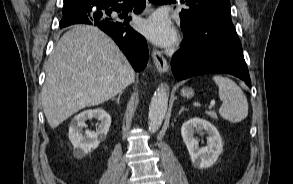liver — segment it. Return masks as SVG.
<instances>
[{
  "mask_svg": "<svg viewBox=\"0 0 293 184\" xmlns=\"http://www.w3.org/2000/svg\"><path fill=\"white\" fill-rule=\"evenodd\" d=\"M45 72L41 101L52 129L81 109L122 93L135 79L114 41L89 25L75 26L60 38Z\"/></svg>",
  "mask_w": 293,
  "mask_h": 184,
  "instance_id": "6515ba94",
  "label": "liver"
}]
</instances>
